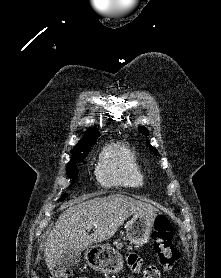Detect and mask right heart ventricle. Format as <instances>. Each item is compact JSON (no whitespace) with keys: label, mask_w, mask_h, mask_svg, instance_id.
Instances as JSON below:
<instances>
[{"label":"right heart ventricle","mask_w":221,"mask_h":278,"mask_svg":"<svg viewBox=\"0 0 221 278\" xmlns=\"http://www.w3.org/2000/svg\"><path fill=\"white\" fill-rule=\"evenodd\" d=\"M100 183L106 187L138 189L145 185L146 175L137 153L126 144L108 146L96 169Z\"/></svg>","instance_id":"1"}]
</instances>
